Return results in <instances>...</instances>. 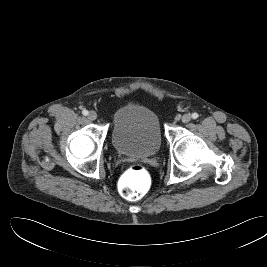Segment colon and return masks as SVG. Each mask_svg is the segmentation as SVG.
<instances>
[{"mask_svg": "<svg viewBox=\"0 0 267 267\" xmlns=\"http://www.w3.org/2000/svg\"><path fill=\"white\" fill-rule=\"evenodd\" d=\"M151 179L148 171L142 165L131 166L119 181L120 195L127 200H137L149 190Z\"/></svg>", "mask_w": 267, "mask_h": 267, "instance_id": "5ec220e1", "label": "colon"}]
</instances>
